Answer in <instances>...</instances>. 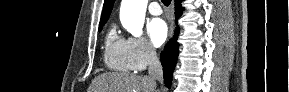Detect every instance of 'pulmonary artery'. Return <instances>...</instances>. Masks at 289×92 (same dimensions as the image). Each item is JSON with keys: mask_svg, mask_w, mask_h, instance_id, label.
<instances>
[{"mask_svg": "<svg viewBox=\"0 0 289 92\" xmlns=\"http://www.w3.org/2000/svg\"><path fill=\"white\" fill-rule=\"evenodd\" d=\"M148 10L152 15H160L162 13L161 6L158 2H151L148 6Z\"/></svg>", "mask_w": 289, "mask_h": 92, "instance_id": "e3ab8cb5", "label": "pulmonary artery"}]
</instances>
